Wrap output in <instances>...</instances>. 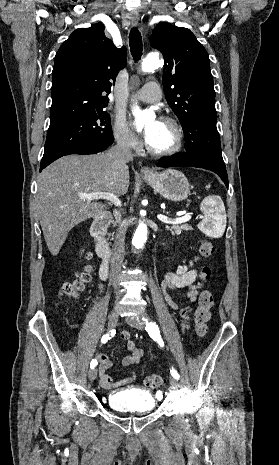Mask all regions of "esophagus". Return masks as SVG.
Wrapping results in <instances>:
<instances>
[{
	"label": "esophagus",
	"instance_id": "34e87169",
	"mask_svg": "<svg viewBox=\"0 0 279 465\" xmlns=\"http://www.w3.org/2000/svg\"><path fill=\"white\" fill-rule=\"evenodd\" d=\"M129 19L132 23V25L136 26L139 23V15L138 14H130ZM141 174L144 176H149L152 174V171L149 167L144 166L140 170Z\"/></svg>",
	"mask_w": 279,
	"mask_h": 465
}]
</instances>
